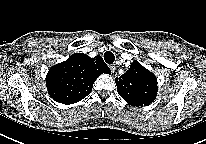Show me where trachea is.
I'll use <instances>...</instances> for the list:
<instances>
[{"instance_id": "3493384b", "label": "trachea", "mask_w": 206, "mask_h": 144, "mask_svg": "<svg viewBox=\"0 0 206 144\" xmlns=\"http://www.w3.org/2000/svg\"><path fill=\"white\" fill-rule=\"evenodd\" d=\"M104 60L108 63V64H112L115 61V56L112 52L107 51L104 53Z\"/></svg>"}]
</instances>
